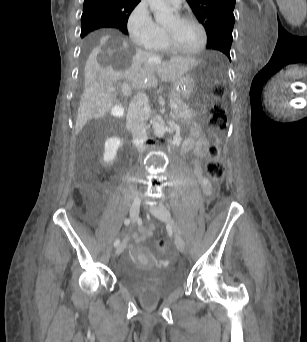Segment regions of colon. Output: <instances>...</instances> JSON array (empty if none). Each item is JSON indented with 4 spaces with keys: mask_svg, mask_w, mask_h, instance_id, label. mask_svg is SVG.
Returning a JSON list of instances; mask_svg holds the SVG:
<instances>
[{
    "mask_svg": "<svg viewBox=\"0 0 307 342\" xmlns=\"http://www.w3.org/2000/svg\"><path fill=\"white\" fill-rule=\"evenodd\" d=\"M207 93L212 94V105L208 109L209 122L215 131L224 130L228 126V118L224 108L219 103L223 94L229 93L228 87H208ZM212 144L208 148V160L206 162V173L212 180H221L224 175V165L220 160V138L215 132L211 136ZM159 253H166L168 243L160 240L157 244Z\"/></svg>",
    "mask_w": 307,
    "mask_h": 342,
    "instance_id": "5ec220e1",
    "label": "colon"
}]
</instances>
